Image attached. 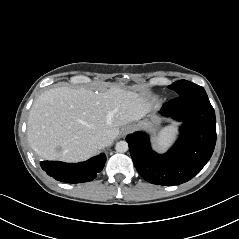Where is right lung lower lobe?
I'll use <instances>...</instances> for the list:
<instances>
[{"instance_id":"98d812e1","label":"right lung lower lobe","mask_w":239,"mask_h":239,"mask_svg":"<svg viewBox=\"0 0 239 239\" xmlns=\"http://www.w3.org/2000/svg\"><path fill=\"white\" fill-rule=\"evenodd\" d=\"M106 162V156L100 154L85 162L64 163L59 161H42V169L54 179L67 183H83L96 178Z\"/></svg>"}]
</instances>
